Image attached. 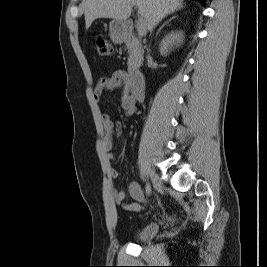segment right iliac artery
<instances>
[{"mask_svg":"<svg viewBox=\"0 0 267 267\" xmlns=\"http://www.w3.org/2000/svg\"><path fill=\"white\" fill-rule=\"evenodd\" d=\"M146 194L150 195L151 194V185L149 182L146 183Z\"/></svg>","mask_w":267,"mask_h":267,"instance_id":"1","label":"right iliac artery"}]
</instances>
